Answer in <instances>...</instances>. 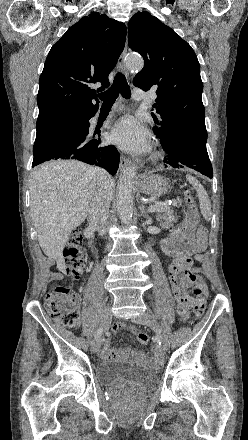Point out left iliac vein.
Masks as SVG:
<instances>
[{
	"label": "left iliac vein",
	"mask_w": 248,
	"mask_h": 440,
	"mask_svg": "<svg viewBox=\"0 0 248 440\" xmlns=\"http://www.w3.org/2000/svg\"><path fill=\"white\" fill-rule=\"evenodd\" d=\"M132 321L138 324L147 325L155 330L159 340L161 341V347L164 350L169 348V340L166 334L163 332L162 328L156 322L154 316L150 312H145L137 317L132 318Z\"/></svg>",
	"instance_id": "4c4485c4"
}]
</instances>
